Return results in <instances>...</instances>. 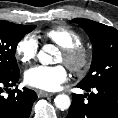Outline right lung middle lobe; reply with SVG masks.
Returning a JSON list of instances; mask_svg holds the SVG:
<instances>
[{"label": "right lung middle lobe", "instance_id": "dd1d6c3e", "mask_svg": "<svg viewBox=\"0 0 118 118\" xmlns=\"http://www.w3.org/2000/svg\"><path fill=\"white\" fill-rule=\"evenodd\" d=\"M35 26H25L0 21V78H9L19 73L15 58L18 42Z\"/></svg>", "mask_w": 118, "mask_h": 118}]
</instances>
